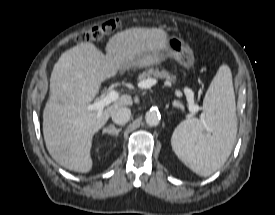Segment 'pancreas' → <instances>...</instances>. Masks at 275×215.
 I'll return each mask as SVG.
<instances>
[{
  "instance_id": "obj_1",
  "label": "pancreas",
  "mask_w": 275,
  "mask_h": 215,
  "mask_svg": "<svg viewBox=\"0 0 275 215\" xmlns=\"http://www.w3.org/2000/svg\"><path fill=\"white\" fill-rule=\"evenodd\" d=\"M152 77H154L156 79H165V80L170 81V82H175L176 81V76L175 75H171L166 70H159V69H155V70L154 69H149L148 71L142 72L138 76V80L141 83V82H143L147 79H151Z\"/></svg>"
}]
</instances>
